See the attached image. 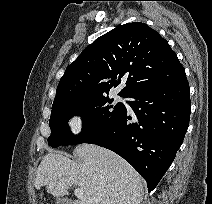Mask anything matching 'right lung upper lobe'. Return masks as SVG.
<instances>
[{"label":"right lung upper lobe","mask_w":212,"mask_h":204,"mask_svg":"<svg viewBox=\"0 0 212 204\" xmlns=\"http://www.w3.org/2000/svg\"><path fill=\"white\" fill-rule=\"evenodd\" d=\"M184 72L159 33L141 22L127 23L100 36L71 63L57 87L52 109L106 96L128 76L119 95L163 85Z\"/></svg>","instance_id":"right-lung-upper-lobe-1"}]
</instances>
